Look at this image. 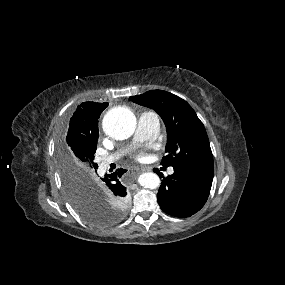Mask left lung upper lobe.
Returning <instances> with one entry per match:
<instances>
[{
	"instance_id": "5c2ea615",
	"label": "left lung upper lobe",
	"mask_w": 285,
	"mask_h": 285,
	"mask_svg": "<svg viewBox=\"0 0 285 285\" xmlns=\"http://www.w3.org/2000/svg\"><path fill=\"white\" fill-rule=\"evenodd\" d=\"M130 100L155 110L167 130L163 166L213 169V155L203 123L192 107L180 97L162 90H151Z\"/></svg>"
}]
</instances>
